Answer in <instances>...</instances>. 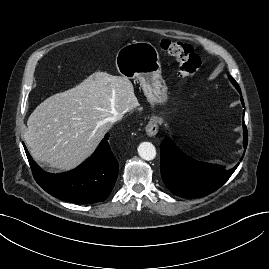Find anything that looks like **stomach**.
I'll return each instance as SVG.
<instances>
[{
	"label": "stomach",
	"mask_w": 269,
	"mask_h": 269,
	"mask_svg": "<svg viewBox=\"0 0 269 269\" xmlns=\"http://www.w3.org/2000/svg\"><path fill=\"white\" fill-rule=\"evenodd\" d=\"M115 65L124 77L137 78L151 103L165 102L167 86L161 76L157 48L149 42H133L123 46L116 55Z\"/></svg>",
	"instance_id": "obj_1"
}]
</instances>
